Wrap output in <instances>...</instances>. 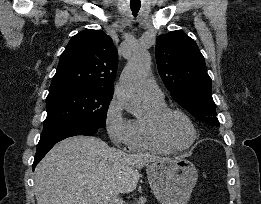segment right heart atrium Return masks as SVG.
<instances>
[{
    "label": "right heart atrium",
    "mask_w": 261,
    "mask_h": 204,
    "mask_svg": "<svg viewBox=\"0 0 261 204\" xmlns=\"http://www.w3.org/2000/svg\"><path fill=\"white\" fill-rule=\"evenodd\" d=\"M105 129L110 141L116 146H129L131 121L123 112L122 103L113 97L105 112Z\"/></svg>",
    "instance_id": "1"
}]
</instances>
